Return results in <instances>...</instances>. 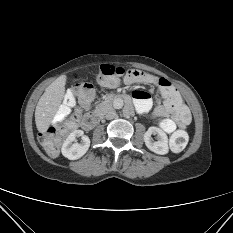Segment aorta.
Returning a JSON list of instances; mask_svg holds the SVG:
<instances>
[{
  "label": "aorta",
  "instance_id": "1",
  "mask_svg": "<svg viewBox=\"0 0 233 233\" xmlns=\"http://www.w3.org/2000/svg\"><path fill=\"white\" fill-rule=\"evenodd\" d=\"M123 105H124V102H123V100L120 99V98L115 99L114 102H113V106H114L116 109H121V108L123 107Z\"/></svg>",
  "mask_w": 233,
  "mask_h": 233
}]
</instances>
